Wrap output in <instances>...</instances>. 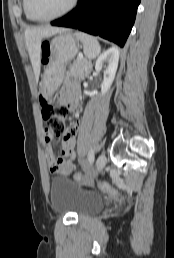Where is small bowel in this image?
Returning a JSON list of instances; mask_svg holds the SVG:
<instances>
[{
    "mask_svg": "<svg viewBox=\"0 0 174 258\" xmlns=\"http://www.w3.org/2000/svg\"><path fill=\"white\" fill-rule=\"evenodd\" d=\"M62 102L71 111L77 114L79 98H78V84L76 82L70 83L66 89L65 94L62 97ZM79 129V123L71 125L68 133L65 135L62 143V152L69 159L64 157H56L53 148L50 144L52 135L46 130L45 141L46 146V160L49 169L52 173L70 175L74 172L76 166L74 159L76 156L75 152V136Z\"/></svg>",
    "mask_w": 174,
    "mask_h": 258,
    "instance_id": "small-bowel-1",
    "label": "small bowel"
}]
</instances>
